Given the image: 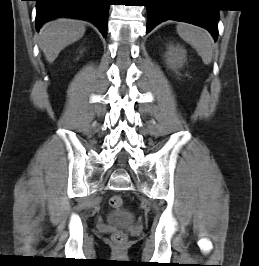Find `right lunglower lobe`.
<instances>
[{
    "label": "right lung lower lobe",
    "mask_w": 259,
    "mask_h": 266,
    "mask_svg": "<svg viewBox=\"0 0 259 266\" xmlns=\"http://www.w3.org/2000/svg\"><path fill=\"white\" fill-rule=\"evenodd\" d=\"M36 29L47 21L65 16L83 19L95 24L107 37L110 0H36Z\"/></svg>",
    "instance_id": "right-lung-lower-lobe-1"
}]
</instances>
